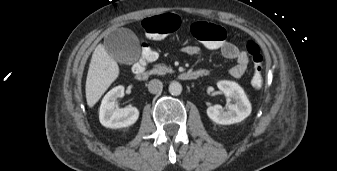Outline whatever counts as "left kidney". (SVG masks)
Here are the masks:
<instances>
[{"instance_id":"1","label":"left kidney","mask_w":337,"mask_h":171,"mask_svg":"<svg viewBox=\"0 0 337 171\" xmlns=\"http://www.w3.org/2000/svg\"><path fill=\"white\" fill-rule=\"evenodd\" d=\"M217 86L226 96L232 98L234 104H229L227 111H224L221 105L208 107L207 115L212 121L230 125L241 122L250 115L251 104L244 90L236 82L223 80L219 81Z\"/></svg>"}]
</instances>
